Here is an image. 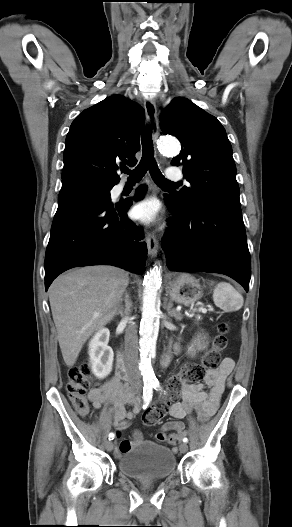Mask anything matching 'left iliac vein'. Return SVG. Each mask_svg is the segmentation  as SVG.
Wrapping results in <instances>:
<instances>
[{
    "label": "left iliac vein",
    "mask_w": 292,
    "mask_h": 527,
    "mask_svg": "<svg viewBox=\"0 0 292 527\" xmlns=\"http://www.w3.org/2000/svg\"><path fill=\"white\" fill-rule=\"evenodd\" d=\"M179 450H180L181 453H186L187 450H188L187 443H181L180 446H179Z\"/></svg>",
    "instance_id": "4c4485c4"
}]
</instances>
